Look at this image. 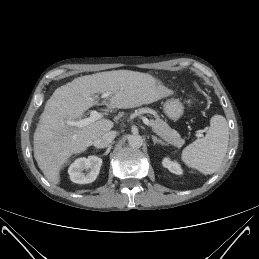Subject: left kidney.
Here are the masks:
<instances>
[{
  "label": "left kidney",
  "instance_id": "1",
  "mask_svg": "<svg viewBox=\"0 0 259 259\" xmlns=\"http://www.w3.org/2000/svg\"><path fill=\"white\" fill-rule=\"evenodd\" d=\"M162 164L165 168H167L170 172L174 174H182V169L177 162L171 161L169 158H164Z\"/></svg>",
  "mask_w": 259,
  "mask_h": 259
}]
</instances>
